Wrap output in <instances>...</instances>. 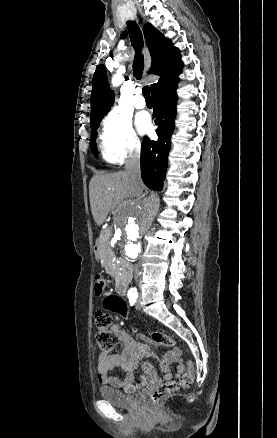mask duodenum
<instances>
[{"mask_svg": "<svg viewBox=\"0 0 277 438\" xmlns=\"http://www.w3.org/2000/svg\"><path fill=\"white\" fill-rule=\"evenodd\" d=\"M94 252L96 256L99 257L100 255V246L99 244H96L94 247ZM120 273L117 275L116 279V290L119 294H126L127 288H126V282L125 277L129 273L130 270V263L125 259H120Z\"/></svg>", "mask_w": 277, "mask_h": 438, "instance_id": "410a0bca", "label": "duodenum"}]
</instances>
